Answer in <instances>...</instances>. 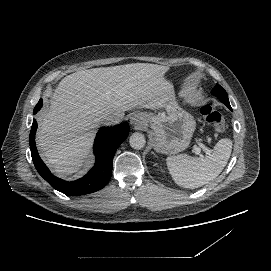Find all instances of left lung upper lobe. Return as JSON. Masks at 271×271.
<instances>
[{
  "instance_id": "5c2ea615",
  "label": "left lung upper lobe",
  "mask_w": 271,
  "mask_h": 271,
  "mask_svg": "<svg viewBox=\"0 0 271 271\" xmlns=\"http://www.w3.org/2000/svg\"><path fill=\"white\" fill-rule=\"evenodd\" d=\"M213 94L216 95L220 99V101L224 103L229 109H231L228 95L219 84H216L215 88L213 89Z\"/></svg>"
}]
</instances>
